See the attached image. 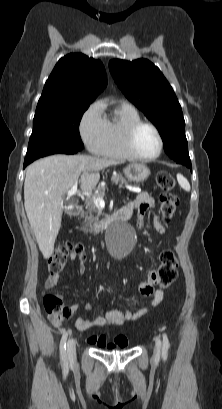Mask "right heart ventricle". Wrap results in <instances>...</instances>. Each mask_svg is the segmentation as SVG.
<instances>
[{
	"instance_id": "e07e8e85",
	"label": "right heart ventricle",
	"mask_w": 222,
	"mask_h": 409,
	"mask_svg": "<svg viewBox=\"0 0 222 409\" xmlns=\"http://www.w3.org/2000/svg\"><path fill=\"white\" fill-rule=\"evenodd\" d=\"M141 120L138 110L132 105H117L113 116L106 119V135L98 154L118 160L133 159L125 147V134L132 124Z\"/></svg>"
}]
</instances>
